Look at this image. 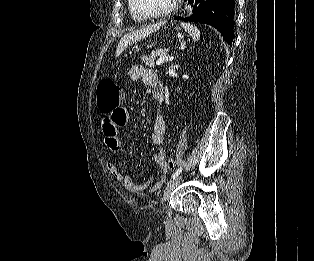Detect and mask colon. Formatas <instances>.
<instances>
[{
  "mask_svg": "<svg viewBox=\"0 0 314 261\" xmlns=\"http://www.w3.org/2000/svg\"><path fill=\"white\" fill-rule=\"evenodd\" d=\"M122 99V90L113 80L104 79L98 84L97 105L101 113L109 115L112 109H119ZM165 165L169 170H173L175 168V162L173 159H168Z\"/></svg>",
  "mask_w": 314,
  "mask_h": 261,
  "instance_id": "colon-1",
  "label": "colon"
}]
</instances>
